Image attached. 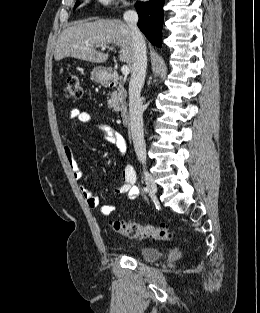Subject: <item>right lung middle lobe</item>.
<instances>
[{"instance_id": "obj_1", "label": "right lung middle lobe", "mask_w": 260, "mask_h": 313, "mask_svg": "<svg viewBox=\"0 0 260 313\" xmlns=\"http://www.w3.org/2000/svg\"><path fill=\"white\" fill-rule=\"evenodd\" d=\"M79 4H80V3L77 1L76 4H75V7L78 6Z\"/></svg>"}]
</instances>
